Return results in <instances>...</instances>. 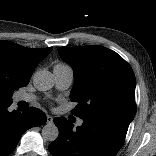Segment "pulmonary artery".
Instances as JSON below:
<instances>
[{
    "mask_svg": "<svg viewBox=\"0 0 156 156\" xmlns=\"http://www.w3.org/2000/svg\"><path fill=\"white\" fill-rule=\"evenodd\" d=\"M53 74L55 85L59 90H66L72 85L74 73L70 66L65 64H56L53 68ZM17 100L31 102L35 100V96L31 94H20L18 95ZM77 125L81 126L82 120H78Z\"/></svg>",
    "mask_w": 156,
    "mask_h": 156,
    "instance_id": "1",
    "label": "pulmonary artery"
}]
</instances>
